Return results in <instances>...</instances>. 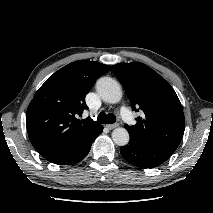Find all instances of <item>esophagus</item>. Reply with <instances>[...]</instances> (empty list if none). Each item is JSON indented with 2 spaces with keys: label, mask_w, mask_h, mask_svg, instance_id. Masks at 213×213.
<instances>
[{
  "label": "esophagus",
  "mask_w": 213,
  "mask_h": 213,
  "mask_svg": "<svg viewBox=\"0 0 213 213\" xmlns=\"http://www.w3.org/2000/svg\"><path fill=\"white\" fill-rule=\"evenodd\" d=\"M118 126H119L118 123H115V124H107V125H106V127H107L108 129H110V130L115 129V128H117Z\"/></svg>",
  "instance_id": "34e87169"
}]
</instances>
